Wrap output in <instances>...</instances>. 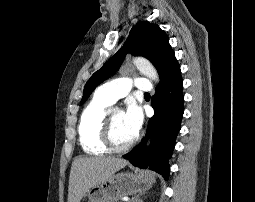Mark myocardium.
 <instances>
[{
    "label": "myocardium",
    "mask_w": 255,
    "mask_h": 202,
    "mask_svg": "<svg viewBox=\"0 0 255 202\" xmlns=\"http://www.w3.org/2000/svg\"><path fill=\"white\" fill-rule=\"evenodd\" d=\"M137 139L138 135H135L129 142L123 145H118L113 139L111 113H106L101 128V141L104 144V146L108 149V151L115 153L127 151L134 145Z\"/></svg>",
    "instance_id": "1"
}]
</instances>
